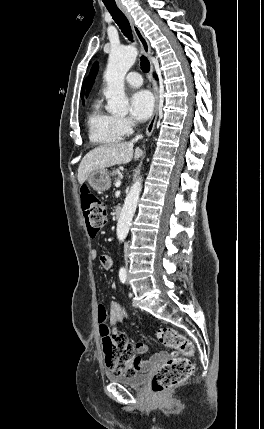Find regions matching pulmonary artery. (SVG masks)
<instances>
[{
    "label": "pulmonary artery",
    "instance_id": "e3ab8cb5",
    "mask_svg": "<svg viewBox=\"0 0 264 429\" xmlns=\"http://www.w3.org/2000/svg\"><path fill=\"white\" fill-rule=\"evenodd\" d=\"M125 82L131 87H140L143 80L138 72H130L126 75Z\"/></svg>",
    "mask_w": 264,
    "mask_h": 429
}]
</instances>
